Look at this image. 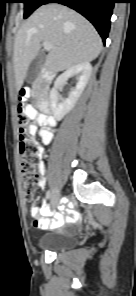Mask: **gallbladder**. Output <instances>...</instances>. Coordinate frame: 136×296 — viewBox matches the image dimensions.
<instances>
[{
	"instance_id": "gallbladder-1",
	"label": "gallbladder",
	"mask_w": 136,
	"mask_h": 296,
	"mask_svg": "<svg viewBox=\"0 0 136 296\" xmlns=\"http://www.w3.org/2000/svg\"><path fill=\"white\" fill-rule=\"evenodd\" d=\"M45 55L38 53L37 56L32 60L27 71V80L33 82L39 75L42 64L44 62Z\"/></svg>"
}]
</instances>
